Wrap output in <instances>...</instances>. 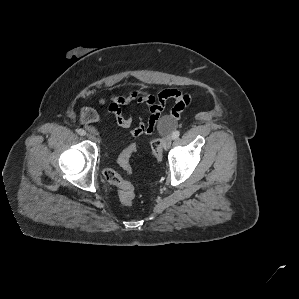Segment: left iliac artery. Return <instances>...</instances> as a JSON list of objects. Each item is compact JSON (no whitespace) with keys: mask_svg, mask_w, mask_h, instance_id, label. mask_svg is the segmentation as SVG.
<instances>
[{"mask_svg":"<svg viewBox=\"0 0 299 299\" xmlns=\"http://www.w3.org/2000/svg\"><path fill=\"white\" fill-rule=\"evenodd\" d=\"M180 136V132L178 130H175L172 134L173 139H177Z\"/></svg>","mask_w":299,"mask_h":299,"instance_id":"1","label":"left iliac artery"}]
</instances>
